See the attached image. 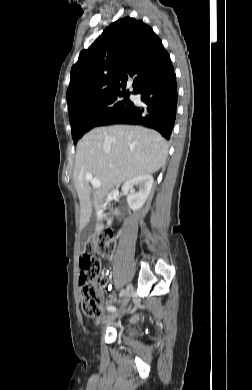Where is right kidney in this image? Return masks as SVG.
Wrapping results in <instances>:
<instances>
[{
  "label": "right kidney",
  "mask_w": 252,
  "mask_h": 390,
  "mask_svg": "<svg viewBox=\"0 0 252 390\" xmlns=\"http://www.w3.org/2000/svg\"><path fill=\"white\" fill-rule=\"evenodd\" d=\"M152 184L153 177L149 174L137 176L124 183L122 191L127 196V202L131 210L137 211L144 205L150 194ZM134 186L139 187L138 192H135ZM118 214L119 212L116 209L115 215Z\"/></svg>",
  "instance_id": "1"
}]
</instances>
